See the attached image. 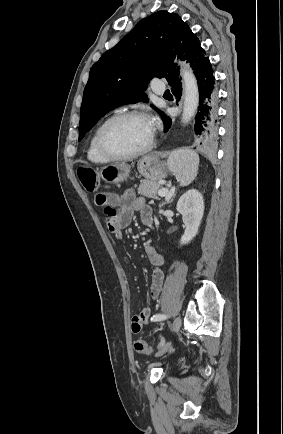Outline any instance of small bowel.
Listing matches in <instances>:
<instances>
[{"instance_id": "small-bowel-1", "label": "small bowel", "mask_w": 283, "mask_h": 434, "mask_svg": "<svg viewBox=\"0 0 283 434\" xmlns=\"http://www.w3.org/2000/svg\"><path fill=\"white\" fill-rule=\"evenodd\" d=\"M98 206L104 209L106 224L111 233L117 239H121L123 230L131 223L135 213H139L145 225L152 222V209L145 200L137 197L132 190H127L122 195L114 193H98L95 197ZM146 256L151 264L156 266L151 276V297L158 298L164 284V273L161 267L164 265V258L150 243L144 245ZM151 311L148 308L132 318L131 330L135 334L142 332L144 325L149 323Z\"/></svg>"}]
</instances>
